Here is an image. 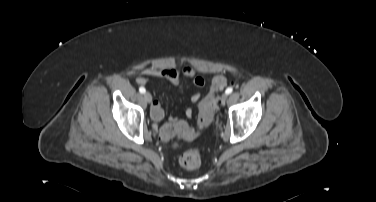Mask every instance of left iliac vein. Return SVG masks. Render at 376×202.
<instances>
[{
    "mask_svg": "<svg viewBox=\"0 0 376 202\" xmlns=\"http://www.w3.org/2000/svg\"><path fill=\"white\" fill-rule=\"evenodd\" d=\"M227 98H228V94L224 93L221 97V104L222 105H225L226 101H227Z\"/></svg>",
    "mask_w": 376,
    "mask_h": 202,
    "instance_id": "1",
    "label": "left iliac vein"
}]
</instances>
